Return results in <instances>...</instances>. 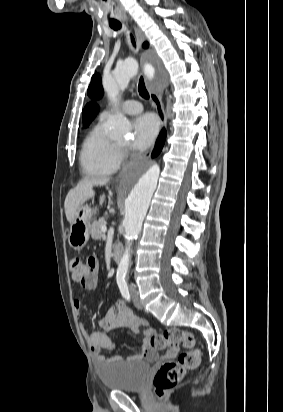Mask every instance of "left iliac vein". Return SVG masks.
I'll return each mask as SVG.
<instances>
[{"mask_svg":"<svg viewBox=\"0 0 283 412\" xmlns=\"http://www.w3.org/2000/svg\"><path fill=\"white\" fill-rule=\"evenodd\" d=\"M130 292H131L132 301H133L134 305H135L138 309H142L143 306H142V303H141V301H140V298H139L137 289H136L135 287H132V288L130 289Z\"/></svg>","mask_w":283,"mask_h":412,"instance_id":"4c4485c4","label":"left iliac vein"}]
</instances>
